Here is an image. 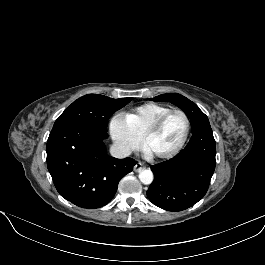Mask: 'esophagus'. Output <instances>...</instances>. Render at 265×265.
<instances>
[{
	"label": "esophagus",
	"mask_w": 265,
	"mask_h": 265,
	"mask_svg": "<svg viewBox=\"0 0 265 265\" xmlns=\"http://www.w3.org/2000/svg\"><path fill=\"white\" fill-rule=\"evenodd\" d=\"M143 169H145V166L141 162L136 163L134 166V171L137 173L141 172Z\"/></svg>",
	"instance_id": "esophagus-1"
}]
</instances>
